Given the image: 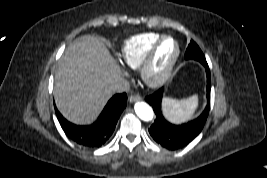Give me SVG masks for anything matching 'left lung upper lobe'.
<instances>
[{
	"instance_id": "left-lung-upper-lobe-1",
	"label": "left lung upper lobe",
	"mask_w": 267,
	"mask_h": 178,
	"mask_svg": "<svg viewBox=\"0 0 267 178\" xmlns=\"http://www.w3.org/2000/svg\"><path fill=\"white\" fill-rule=\"evenodd\" d=\"M185 59H194L201 62L203 65L207 64L205 56L193 40H191L189 46L187 47Z\"/></svg>"
}]
</instances>
